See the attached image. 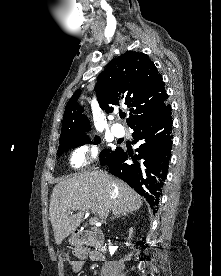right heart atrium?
<instances>
[{
  "instance_id": "obj_1",
  "label": "right heart atrium",
  "mask_w": 221,
  "mask_h": 276,
  "mask_svg": "<svg viewBox=\"0 0 221 276\" xmlns=\"http://www.w3.org/2000/svg\"><path fill=\"white\" fill-rule=\"evenodd\" d=\"M97 153L98 149L96 146H91L90 148H78L71 156V164L75 167H84L90 164L96 158Z\"/></svg>"
}]
</instances>
